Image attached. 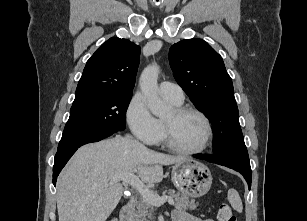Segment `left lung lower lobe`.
Instances as JSON below:
<instances>
[{
	"mask_svg": "<svg viewBox=\"0 0 307 221\" xmlns=\"http://www.w3.org/2000/svg\"><path fill=\"white\" fill-rule=\"evenodd\" d=\"M197 159L206 160L211 163H216L222 166L229 167L240 172L248 183L249 190L251 188L252 171L250 161H242L232 156H196Z\"/></svg>",
	"mask_w": 307,
	"mask_h": 221,
	"instance_id": "1",
	"label": "left lung lower lobe"
}]
</instances>
